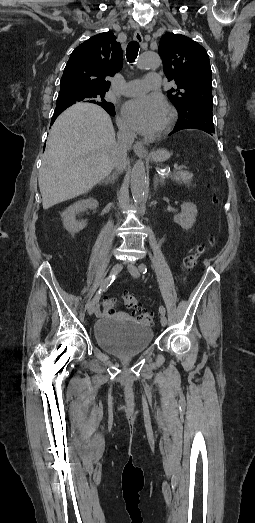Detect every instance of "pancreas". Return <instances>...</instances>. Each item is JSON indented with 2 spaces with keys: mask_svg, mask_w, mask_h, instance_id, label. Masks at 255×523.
<instances>
[{
  "mask_svg": "<svg viewBox=\"0 0 255 523\" xmlns=\"http://www.w3.org/2000/svg\"><path fill=\"white\" fill-rule=\"evenodd\" d=\"M193 176L192 174H188V172L180 174H176V176H173V180H177V182H182V184H190Z\"/></svg>",
  "mask_w": 255,
  "mask_h": 523,
  "instance_id": "cf45deb5",
  "label": "pancreas"
}]
</instances>
